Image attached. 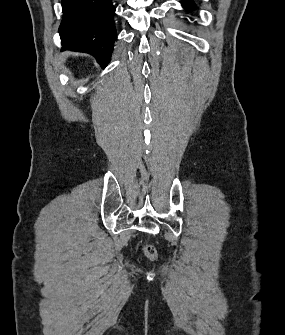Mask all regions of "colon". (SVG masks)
I'll list each match as a JSON object with an SVG mask.
<instances>
[{"mask_svg":"<svg viewBox=\"0 0 285 335\" xmlns=\"http://www.w3.org/2000/svg\"><path fill=\"white\" fill-rule=\"evenodd\" d=\"M143 252L145 256L151 260L157 257V250L153 245L146 244L143 246Z\"/></svg>","mask_w":285,"mask_h":335,"instance_id":"1","label":"colon"}]
</instances>
